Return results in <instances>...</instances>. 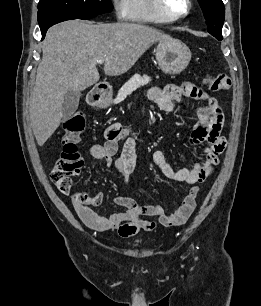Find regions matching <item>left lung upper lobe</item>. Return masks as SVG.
<instances>
[{"mask_svg":"<svg viewBox=\"0 0 261 306\" xmlns=\"http://www.w3.org/2000/svg\"><path fill=\"white\" fill-rule=\"evenodd\" d=\"M198 2L208 24V32L213 36H222L225 18V8L222 0H198Z\"/></svg>","mask_w":261,"mask_h":306,"instance_id":"obj_1","label":"left lung upper lobe"}]
</instances>
